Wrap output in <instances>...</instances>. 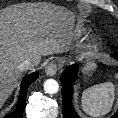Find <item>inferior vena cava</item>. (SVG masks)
Returning <instances> with one entry per match:
<instances>
[{
    "mask_svg": "<svg viewBox=\"0 0 118 118\" xmlns=\"http://www.w3.org/2000/svg\"><path fill=\"white\" fill-rule=\"evenodd\" d=\"M35 65V61L31 58L24 60L22 63L18 65V68L22 71L29 69L30 67Z\"/></svg>",
    "mask_w": 118,
    "mask_h": 118,
    "instance_id": "obj_1",
    "label": "inferior vena cava"
}]
</instances>
